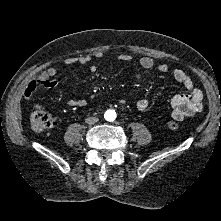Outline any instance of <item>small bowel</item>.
I'll return each mask as SVG.
<instances>
[{"instance_id":"small-bowel-1","label":"small bowel","mask_w":221,"mask_h":221,"mask_svg":"<svg viewBox=\"0 0 221 221\" xmlns=\"http://www.w3.org/2000/svg\"><path fill=\"white\" fill-rule=\"evenodd\" d=\"M95 57L99 60H102L104 55L103 53H97ZM121 60L124 61H131L132 57L130 55H123L120 57ZM79 63L80 65L86 67L90 72L94 73L97 71V66L91 64V58L89 56L83 57H70L66 60V64L72 65ZM140 66L145 69H153L156 68L162 73H170L175 81L183 85V87L188 91V94H181L176 95L173 97L171 101L172 105V115L175 119L177 116L181 114L182 111V119L185 116L192 115L196 112L202 110V100L203 94L202 91L197 88L194 84V81L184 70L180 68H176L170 70L169 66L164 63L156 64L155 60L149 56H143L139 59ZM58 74V68L55 66H51L44 70L37 78L32 80L24 89L22 93V97L24 100H30L35 92L39 88H45L49 90H54L58 87V81L53 79ZM137 78L141 77V74L136 75ZM85 100H74V99H67L66 104L70 106H83L85 105ZM148 101L146 99H139L136 103L137 109L139 111H145L148 108ZM39 107V106H36Z\"/></svg>"}]
</instances>
